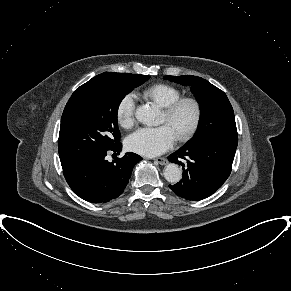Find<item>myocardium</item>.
<instances>
[{
    "label": "myocardium",
    "mask_w": 291,
    "mask_h": 291,
    "mask_svg": "<svg viewBox=\"0 0 291 291\" xmlns=\"http://www.w3.org/2000/svg\"><path fill=\"white\" fill-rule=\"evenodd\" d=\"M190 105L193 109V119L188 129L177 136L179 142H186L197 132L203 115L200 101L195 97H181L172 104L164 108V114L168 119H172L185 106Z\"/></svg>",
    "instance_id": "1"
}]
</instances>
